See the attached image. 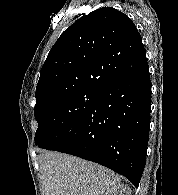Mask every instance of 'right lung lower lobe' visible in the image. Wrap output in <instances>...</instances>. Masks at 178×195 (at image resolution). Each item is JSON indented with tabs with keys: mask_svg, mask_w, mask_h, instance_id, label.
Instances as JSON below:
<instances>
[{
	"mask_svg": "<svg viewBox=\"0 0 178 195\" xmlns=\"http://www.w3.org/2000/svg\"><path fill=\"white\" fill-rule=\"evenodd\" d=\"M149 66L98 90L93 106L53 150L99 163L138 187L149 139Z\"/></svg>",
	"mask_w": 178,
	"mask_h": 195,
	"instance_id": "1",
	"label": "right lung lower lobe"
}]
</instances>
